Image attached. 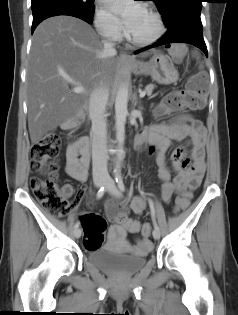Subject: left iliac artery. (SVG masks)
Listing matches in <instances>:
<instances>
[{
  "instance_id": "1",
  "label": "left iliac artery",
  "mask_w": 238,
  "mask_h": 315,
  "mask_svg": "<svg viewBox=\"0 0 238 315\" xmlns=\"http://www.w3.org/2000/svg\"><path fill=\"white\" fill-rule=\"evenodd\" d=\"M116 183H117V185L121 191H125V185L123 183V179H122L121 174L117 175ZM148 201H149V205H150V209H151V216H152L154 228L159 230V226H158V224L156 222V218H155V209H154L153 201L151 199H148Z\"/></svg>"
}]
</instances>
